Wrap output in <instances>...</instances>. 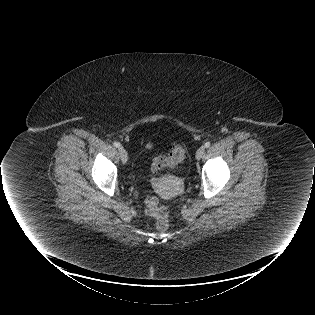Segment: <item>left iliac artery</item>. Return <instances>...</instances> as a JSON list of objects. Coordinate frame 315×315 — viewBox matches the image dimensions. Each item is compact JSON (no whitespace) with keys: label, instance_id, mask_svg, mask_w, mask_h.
I'll list each match as a JSON object with an SVG mask.
<instances>
[{"label":"left iliac artery","instance_id":"left-iliac-artery-1","mask_svg":"<svg viewBox=\"0 0 315 315\" xmlns=\"http://www.w3.org/2000/svg\"><path fill=\"white\" fill-rule=\"evenodd\" d=\"M210 145H211L210 142H206L205 145H204V147H205V148H208V147H210Z\"/></svg>","mask_w":315,"mask_h":315}]
</instances>
